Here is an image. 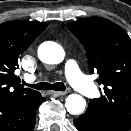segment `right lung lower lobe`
<instances>
[{
	"label": "right lung lower lobe",
	"instance_id": "right-lung-lower-lobe-1",
	"mask_svg": "<svg viewBox=\"0 0 131 131\" xmlns=\"http://www.w3.org/2000/svg\"><path fill=\"white\" fill-rule=\"evenodd\" d=\"M45 100L40 93L18 99H0V131H32L39 105Z\"/></svg>",
	"mask_w": 131,
	"mask_h": 131
}]
</instances>
